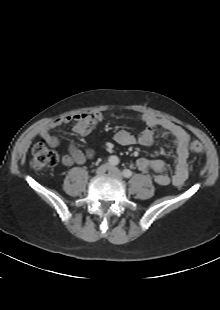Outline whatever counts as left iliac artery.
Returning a JSON list of instances; mask_svg holds the SVG:
<instances>
[{
    "label": "left iliac artery",
    "instance_id": "1",
    "mask_svg": "<svg viewBox=\"0 0 220 310\" xmlns=\"http://www.w3.org/2000/svg\"><path fill=\"white\" fill-rule=\"evenodd\" d=\"M123 176L126 178H130L132 176V171H130L129 169L123 170Z\"/></svg>",
    "mask_w": 220,
    "mask_h": 310
}]
</instances>
